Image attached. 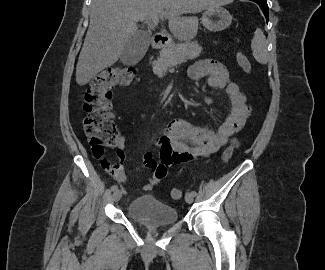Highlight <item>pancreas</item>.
Instances as JSON below:
<instances>
[{"mask_svg": "<svg viewBox=\"0 0 325 270\" xmlns=\"http://www.w3.org/2000/svg\"><path fill=\"white\" fill-rule=\"evenodd\" d=\"M202 51L197 42L186 41L181 44H171L160 51L159 58L153 63V72L159 77L167 72L168 68L197 58Z\"/></svg>", "mask_w": 325, "mask_h": 270, "instance_id": "cf45deb5", "label": "pancreas"}]
</instances>
